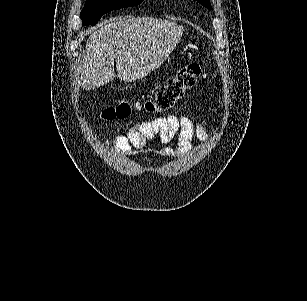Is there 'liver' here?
Returning <instances> with one entry per match:
<instances>
[{
    "mask_svg": "<svg viewBox=\"0 0 307 301\" xmlns=\"http://www.w3.org/2000/svg\"><path fill=\"white\" fill-rule=\"evenodd\" d=\"M78 64L77 80L85 90L113 80L114 64L119 78L134 82L156 70L178 44L183 26L172 20L149 16H115L94 26Z\"/></svg>",
    "mask_w": 307,
    "mask_h": 301,
    "instance_id": "obj_1",
    "label": "liver"
}]
</instances>
